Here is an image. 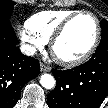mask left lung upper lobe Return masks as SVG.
<instances>
[{"mask_svg": "<svg viewBox=\"0 0 108 108\" xmlns=\"http://www.w3.org/2000/svg\"><path fill=\"white\" fill-rule=\"evenodd\" d=\"M100 25L102 28V38L100 45L95 52H108V22L106 20H102Z\"/></svg>", "mask_w": 108, "mask_h": 108, "instance_id": "5c2ea615", "label": "left lung upper lobe"}]
</instances>
